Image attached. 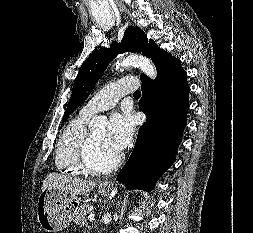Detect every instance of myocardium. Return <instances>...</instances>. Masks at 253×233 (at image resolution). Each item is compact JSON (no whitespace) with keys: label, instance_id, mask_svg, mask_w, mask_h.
<instances>
[{"label":"myocardium","instance_id":"myocardium-1","mask_svg":"<svg viewBox=\"0 0 253 233\" xmlns=\"http://www.w3.org/2000/svg\"><path fill=\"white\" fill-rule=\"evenodd\" d=\"M93 149V138L91 133H87L81 142L76 156L78 166L86 173L89 174H103L115 169L122 161V155H116L109 162L98 165L92 160L91 153Z\"/></svg>","mask_w":253,"mask_h":233}]
</instances>
